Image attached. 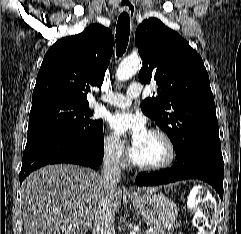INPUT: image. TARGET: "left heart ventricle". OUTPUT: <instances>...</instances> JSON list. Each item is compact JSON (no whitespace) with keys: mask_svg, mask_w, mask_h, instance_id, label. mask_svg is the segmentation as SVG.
Here are the masks:
<instances>
[{"mask_svg":"<svg viewBox=\"0 0 241 234\" xmlns=\"http://www.w3.org/2000/svg\"><path fill=\"white\" fill-rule=\"evenodd\" d=\"M131 152L134 159L143 164H158L167 156V148L163 140L149 132Z\"/></svg>","mask_w":241,"mask_h":234,"instance_id":"b2bd125f","label":"left heart ventricle"}]
</instances>
